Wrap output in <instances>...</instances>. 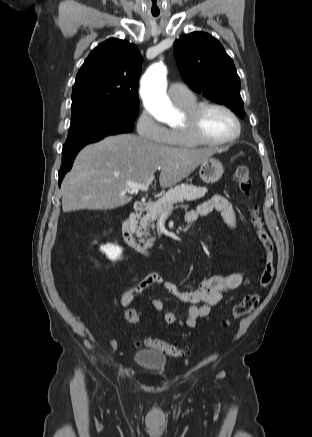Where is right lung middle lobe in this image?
Segmentation results:
<instances>
[{
	"label": "right lung middle lobe",
	"instance_id": "obj_1",
	"mask_svg": "<svg viewBox=\"0 0 312 437\" xmlns=\"http://www.w3.org/2000/svg\"><path fill=\"white\" fill-rule=\"evenodd\" d=\"M139 104L88 103L72 107L63 153L78 150L105 136L131 132Z\"/></svg>",
	"mask_w": 312,
	"mask_h": 437
}]
</instances>
